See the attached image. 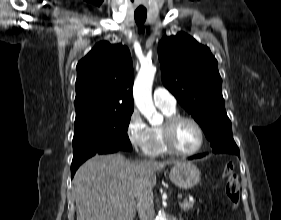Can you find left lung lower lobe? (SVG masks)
Segmentation results:
<instances>
[{
    "label": "left lung lower lobe",
    "instance_id": "1",
    "mask_svg": "<svg viewBox=\"0 0 281 220\" xmlns=\"http://www.w3.org/2000/svg\"><path fill=\"white\" fill-rule=\"evenodd\" d=\"M233 154H236L237 156L240 157L239 149L235 150V151L233 152ZM203 155H204V154H203ZM203 155H196V156H194V157H191L190 159H192V158H199V157H202Z\"/></svg>",
    "mask_w": 281,
    "mask_h": 220
}]
</instances>
